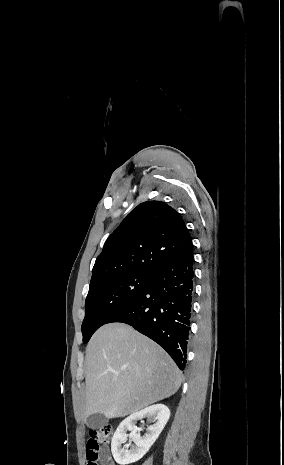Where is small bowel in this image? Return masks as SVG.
<instances>
[{
	"label": "small bowel",
	"instance_id": "1",
	"mask_svg": "<svg viewBox=\"0 0 284 465\" xmlns=\"http://www.w3.org/2000/svg\"><path fill=\"white\" fill-rule=\"evenodd\" d=\"M106 460H107V461H109V460H110V457H109V456H107V457H106Z\"/></svg>",
	"mask_w": 284,
	"mask_h": 465
}]
</instances>
